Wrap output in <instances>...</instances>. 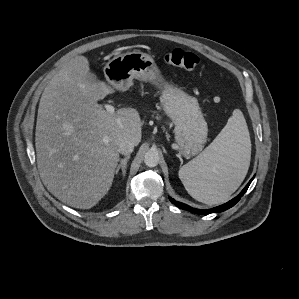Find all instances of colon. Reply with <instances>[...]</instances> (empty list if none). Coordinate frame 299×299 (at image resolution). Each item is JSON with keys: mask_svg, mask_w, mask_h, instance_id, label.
<instances>
[{"mask_svg": "<svg viewBox=\"0 0 299 299\" xmlns=\"http://www.w3.org/2000/svg\"><path fill=\"white\" fill-rule=\"evenodd\" d=\"M164 60L167 64L186 70H194L199 65V58L196 54L181 48H175L166 53Z\"/></svg>", "mask_w": 299, "mask_h": 299, "instance_id": "5ec220e1", "label": "colon"}]
</instances>
